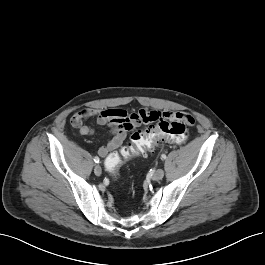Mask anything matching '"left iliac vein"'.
Returning <instances> with one entry per match:
<instances>
[{"label":"left iliac vein","mask_w":265,"mask_h":265,"mask_svg":"<svg viewBox=\"0 0 265 265\" xmlns=\"http://www.w3.org/2000/svg\"><path fill=\"white\" fill-rule=\"evenodd\" d=\"M163 176H164V171H163V169H158V170H156L155 173H154V178H155L156 180H160V179H162Z\"/></svg>","instance_id":"4c4485c4"}]
</instances>
